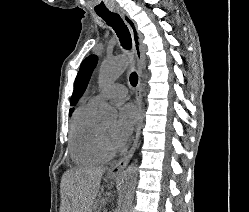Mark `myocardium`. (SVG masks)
<instances>
[{
	"mask_svg": "<svg viewBox=\"0 0 249 212\" xmlns=\"http://www.w3.org/2000/svg\"><path fill=\"white\" fill-rule=\"evenodd\" d=\"M97 138L100 149L102 150L103 154L106 157H112L115 154V152L104 138L100 127L97 128Z\"/></svg>",
	"mask_w": 249,
	"mask_h": 212,
	"instance_id": "obj_1",
	"label": "myocardium"
}]
</instances>
